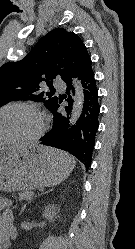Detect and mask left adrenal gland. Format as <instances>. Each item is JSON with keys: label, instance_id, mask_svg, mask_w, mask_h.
Returning a JSON list of instances; mask_svg holds the SVG:
<instances>
[{"label": "left adrenal gland", "instance_id": "1", "mask_svg": "<svg viewBox=\"0 0 135 249\" xmlns=\"http://www.w3.org/2000/svg\"><path fill=\"white\" fill-rule=\"evenodd\" d=\"M48 191H46V192H43V193H41V194H39L38 196H40V195H42V194H45V193H47ZM35 198V197H34ZM33 200V198H31L23 207H22V209H21V211H20V214L19 215H21L22 213H23V211L25 210V208H26V206H27V204H29L31 201Z\"/></svg>", "mask_w": 135, "mask_h": 249}]
</instances>
